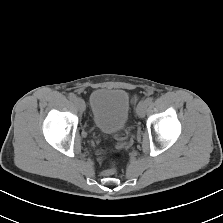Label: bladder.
Listing matches in <instances>:
<instances>
[{
  "instance_id": "31cf9c89",
  "label": "bladder",
  "mask_w": 223,
  "mask_h": 223,
  "mask_svg": "<svg viewBox=\"0 0 223 223\" xmlns=\"http://www.w3.org/2000/svg\"><path fill=\"white\" fill-rule=\"evenodd\" d=\"M90 109L94 125L104 133L122 130L129 118L131 101L121 88H98L90 95Z\"/></svg>"
}]
</instances>
